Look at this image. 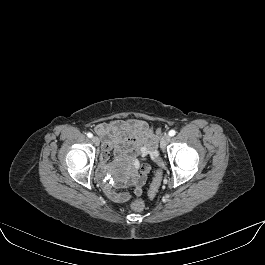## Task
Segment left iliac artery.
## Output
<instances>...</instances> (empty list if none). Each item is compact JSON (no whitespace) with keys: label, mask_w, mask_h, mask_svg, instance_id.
Returning <instances> with one entry per match:
<instances>
[{"label":"left iliac artery","mask_w":265,"mask_h":265,"mask_svg":"<svg viewBox=\"0 0 265 265\" xmlns=\"http://www.w3.org/2000/svg\"><path fill=\"white\" fill-rule=\"evenodd\" d=\"M168 134H169V136L172 137V136H174L176 134V131L175 130H170Z\"/></svg>","instance_id":"1"}]
</instances>
